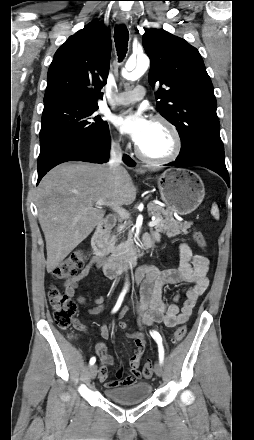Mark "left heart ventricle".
<instances>
[{"mask_svg":"<svg viewBox=\"0 0 254 440\" xmlns=\"http://www.w3.org/2000/svg\"><path fill=\"white\" fill-rule=\"evenodd\" d=\"M138 147L145 155L165 157L174 148V138L165 125L153 122L147 137Z\"/></svg>","mask_w":254,"mask_h":440,"instance_id":"left-heart-ventricle-1","label":"left heart ventricle"}]
</instances>
